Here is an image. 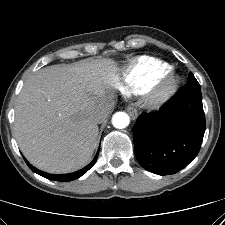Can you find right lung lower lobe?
Here are the masks:
<instances>
[{
	"mask_svg": "<svg viewBox=\"0 0 225 225\" xmlns=\"http://www.w3.org/2000/svg\"><path fill=\"white\" fill-rule=\"evenodd\" d=\"M97 157H98V152L90 164H88L87 166H85L79 171H76L74 173H69V174H49L33 167L27 160L25 161L27 165L29 166V168L32 169L33 172L41 175L42 177H45L47 179L54 180V181L68 182V181L78 179L79 177L84 175L95 164Z\"/></svg>",
	"mask_w": 225,
	"mask_h": 225,
	"instance_id": "1",
	"label": "right lung lower lobe"
}]
</instances>
